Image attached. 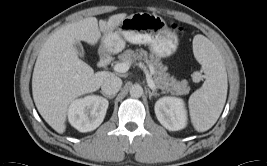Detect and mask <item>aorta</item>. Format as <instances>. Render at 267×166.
Returning <instances> with one entry per match:
<instances>
[{"mask_svg":"<svg viewBox=\"0 0 267 166\" xmlns=\"http://www.w3.org/2000/svg\"><path fill=\"white\" fill-rule=\"evenodd\" d=\"M142 94H143V88L140 85L135 84L130 88L131 97L139 98L142 96Z\"/></svg>","mask_w":267,"mask_h":166,"instance_id":"1","label":"aorta"}]
</instances>
